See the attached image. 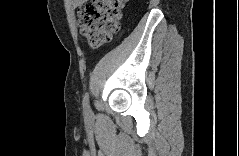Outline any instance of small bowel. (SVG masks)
<instances>
[{"mask_svg": "<svg viewBox=\"0 0 239 156\" xmlns=\"http://www.w3.org/2000/svg\"><path fill=\"white\" fill-rule=\"evenodd\" d=\"M72 3L74 6H77L81 3V0H74Z\"/></svg>", "mask_w": 239, "mask_h": 156, "instance_id": "1", "label": "small bowel"}]
</instances>
